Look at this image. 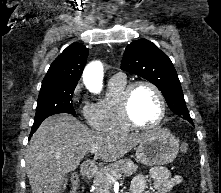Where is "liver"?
<instances>
[{"instance_id":"obj_1","label":"liver","mask_w":221,"mask_h":193,"mask_svg":"<svg viewBox=\"0 0 221 193\" xmlns=\"http://www.w3.org/2000/svg\"><path fill=\"white\" fill-rule=\"evenodd\" d=\"M150 134H104L88 129L71 115L48 117L26 148V172L32 193H60L64 176L78 167L91 148L98 149L96 154L104 162H113Z\"/></svg>"}]
</instances>
